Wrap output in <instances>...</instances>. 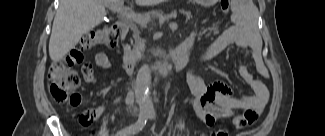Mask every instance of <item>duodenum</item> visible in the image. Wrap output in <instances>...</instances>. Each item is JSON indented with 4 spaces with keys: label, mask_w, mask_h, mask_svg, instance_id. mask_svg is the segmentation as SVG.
I'll list each match as a JSON object with an SVG mask.
<instances>
[{
    "label": "duodenum",
    "mask_w": 325,
    "mask_h": 136,
    "mask_svg": "<svg viewBox=\"0 0 325 136\" xmlns=\"http://www.w3.org/2000/svg\"><path fill=\"white\" fill-rule=\"evenodd\" d=\"M115 28L119 31L120 35L124 37L128 31V22L125 20L116 21ZM191 44L192 42L187 40L185 43L172 49L167 54L165 62L170 66L171 71H180L186 66L189 60ZM123 47L125 52L123 57V67L128 72H133L138 69V67L140 66V62L133 57L131 51L127 48L126 45H124Z\"/></svg>",
    "instance_id": "410a0bca"
}]
</instances>
